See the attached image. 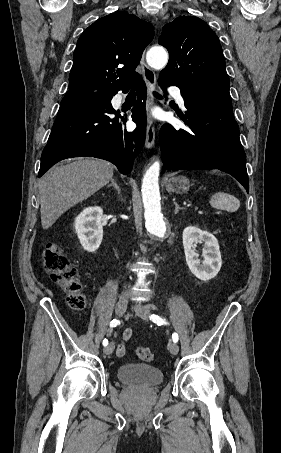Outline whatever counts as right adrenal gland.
<instances>
[{
	"instance_id": "2a0ac1e0",
	"label": "right adrenal gland",
	"mask_w": 281,
	"mask_h": 453,
	"mask_svg": "<svg viewBox=\"0 0 281 453\" xmlns=\"http://www.w3.org/2000/svg\"><path fill=\"white\" fill-rule=\"evenodd\" d=\"M108 188L109 186H114V188H116V190H118V194H121V188L120 186H118L116 180H114V178H112L111 180V184H107ZM120 200H124V196H120Z\"/></svg>"
}]
</instances>
